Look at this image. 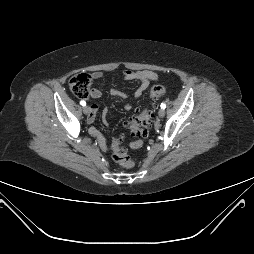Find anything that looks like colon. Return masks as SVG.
<instances>
[{
  "instance_id": "colon-1",
  "label": "colon",
  "mask_w": 254,
  "mask_h": 254,
  "mask_svg": "<svg viewBox=\"0 0 254 254\" xmlns=\"http://www.w3.org/2000/svg\"><path fill=\"white\" fill-rule=\"evenodd\" d=\"M91 76L87 74H77L70 78L69 87L72 93L78 98H87L90 92ZM166 94V89L163 86L157 85L150 90V97L155 100L163 97ZM153 112L150 108L139 109L128 122V129L133 137L144 138L148 135ZM112 157L121 167L132 168L133 161L127 154V149L122 140L117 139L112 144Z\"/></svg>"
}]
</instances>
